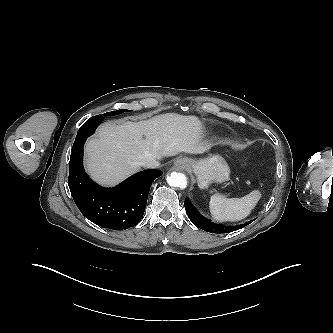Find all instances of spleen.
<instances>
[{"label": "spleen", "mask_w": 333, "mask_h": 333, "mask_svg": "<svg viewBox=\"0 0 333 333\" xmlns=\"http://www.w3.org/2000/svg\"><path fill=\"white\" fill-rule=\"evenodd\" d=\"M261 197L258 190L250 192L242 198H226L214 194L209 202L212 217L220 222L239 221L246 218Z\"/></svg>", "instance_id": "1"}]
</instances>
